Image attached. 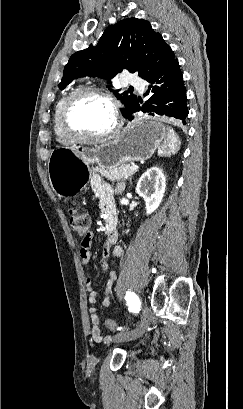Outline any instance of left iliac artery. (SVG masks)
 <instances>
[{
    "mask_svg": "<svg viewBox=\"0 0 243 409\" xmlns=\"http://www.w3.org/2000/svg\"><path fill=\"white\" fill-rule=\"evenodd\" d=\"M132 300V299H131ZM132 305H133V308L134 309H137V310H139L140 309V302H139V299H134L133 301H132ZM122 328L120 327L119 328V330H121Z\"/></svg>",
    "mask_w": 243,
    "mask_h": 409,
    "instance_id": "1",
    "label": "left iliac artery"
}]
</instances>
